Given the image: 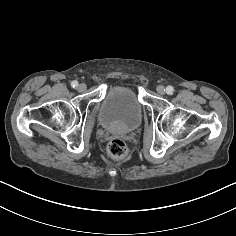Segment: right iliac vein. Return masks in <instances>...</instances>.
Masks as SVG:
<instances>
[{"label":"right iliac vein","instance_id":"right-iliac-vein-1","mask_svg":"<svg viewBox=\"0 0 236 236\" xmlns=\"http://www.w3.org/2000/svg\"><path fill=\"white\" fill-rule=\"evenodd\" d=\"M86 85L84 83H81L79 86H78V91L79 92H84L86 90Z\"/></svg>","mask_w":236,"mask_h":236}]
</instances>
